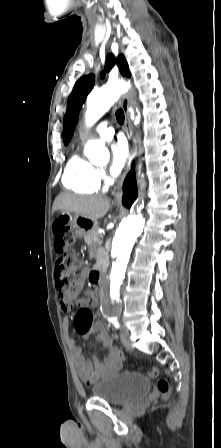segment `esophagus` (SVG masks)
<instances>
[{"label": "esophagus", "instance_id": "1", "mask_svg": "<svg viewBox=\"0 0 221 448\" xmlns=\"http://www.w3.org/2000/svg\"><path fill=\"white\" fill-rule=\"evenodd\" d=\"M129 105H130V99L129 96L126 94L124 95L123 99H122V108L125 114V123H124V129L127 135V138L132 141V148H131V155L129 157L128 163L126 165V169L124 171V174L122 176V179L120 181V183L114 188V195H113V202L116 204H120L121 203V198H122V183L123 180L125 179L127 173L130 170V164L131 161L136 157L137 154V149H136V145L134 143V139H133V126L130 120V116H129Z\"/></svg>", "mask_w": 221, "mask_h": 448}]
</instances>
